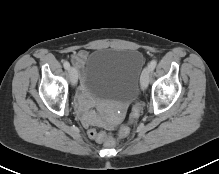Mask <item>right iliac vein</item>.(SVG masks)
Instances as JSON below:
<instances>
[{
	"mask_svg": "<svg viewBox=\"0 0 219 174\" xmlns=\"http://www.w3.org/2000/svg\"><path fill=\"white\" fill-rule=\"evenodd\" d=\"M68 72H69V78H70L72 85H75L77 82V79H78V72H77L76 68L70 67L68 69Z\"/></svg>",
	"mask_w": 219,
	"mask_h": 174,
	"instance_id": "63e3f726",
	"label": "right iliac vein"
}]
</instances>
